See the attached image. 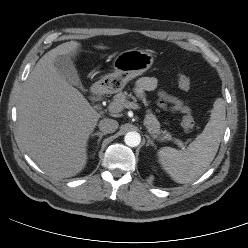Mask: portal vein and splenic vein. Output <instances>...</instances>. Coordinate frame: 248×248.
<instances>
[{"mask_svg":"<svg viewBox=\"0 0 248 248\" xmlns=\"http://www.w3.org/2000/svg\"><path fill=\"white\" fill-rule=\"evenodd\" d=\"M125 108H130V109H139V105L135 102H128L125 104L124 106ZM108 109L111 111V112H120L122 110L121 107L117 106L115 103H111L109 106H108ZM177 144L180 146V147H183V143L180 141V140H177Z\"/></svg>","mask_w":248,"mask_h":248,"instance_id":"1","label":"portal vein and splenic vein"}]
</instances>
